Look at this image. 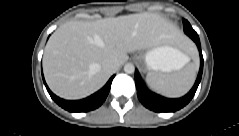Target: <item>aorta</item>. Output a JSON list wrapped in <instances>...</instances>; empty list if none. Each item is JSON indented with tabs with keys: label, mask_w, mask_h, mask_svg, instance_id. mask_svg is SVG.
<instances>
[{
	"label": "aorta",
	"mask_w": 239,
	"mask_h": 136,
	"mask_svg": "<svg viewBox=\"0 0 239 136\" xmlns=\"http://www.w3.org/2000/svg\"><path fill=\"white\" fill-rule=\"evenodd\" d=\"M124 71H125L126 73H128V74H132V73H134V71H135V67H134L133 64L127 63V64H125V66H124Z\"/></svg>",
	"instance_id": "aorta-1"
}]
</instances>
